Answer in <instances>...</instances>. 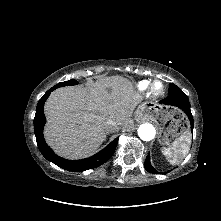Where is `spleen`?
I'll list each match as a JSON object with an SVG mask.
<instances>
[{
  "label": "spleen",
  "instance_id": "3e777b00",
  "mask_svg": "<svg viewBox=\"0 0 221 221\" xmlns=\"http://www.w3.org/2000/svg\"><path fill=\"white\" fill-rule=\"evenodd\" d=\"M190 142V133L186 132L178 137L170 146L163 147L162 153L171 164H177L188 154Z\"/></svg>",
  "mask_w": 221,
  "mask_h": 221
}]
</instances>
